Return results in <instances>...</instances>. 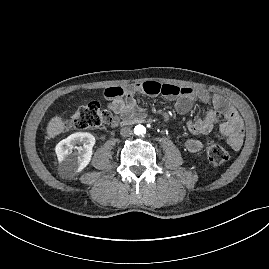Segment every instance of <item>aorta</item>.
I'll return each instance as SVG.
<instances>
[{"instance_id": "762f6f07", "label": "aorta", "mask_w": 269, "mask_h": 269, "mask_svg": "<svg viewBox=\"0 0 269 269\" xmlns=\"http://www.w3.org/2000/svg\"><path fill=\"white\" fill-rule=\"evenodd\" d=\"M134 133L138 136H143L146 133V128L143 125H137L134 128Z\"/></svg>"}]
</instances>
